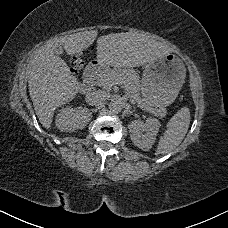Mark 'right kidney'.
Instances as JSON below:
<instances>
[{
    "instance_id": "right-kidney-1",
    "label": "right kidney",
    "mask_w": 228,
    "mask_h": 228,
    "mask_svg": "<svg viewBox=\"0 0 228 228\" xmlns=\"http://www.w3.org/2000/svg\"><path fill=\"white\" fill-rule=\"evenodd\" d=\"M92 119V114L85 108H67L56 119L57 128L64 132H75L84 128Z\"/></svg>"
}]
</instances>
